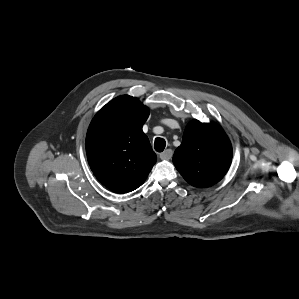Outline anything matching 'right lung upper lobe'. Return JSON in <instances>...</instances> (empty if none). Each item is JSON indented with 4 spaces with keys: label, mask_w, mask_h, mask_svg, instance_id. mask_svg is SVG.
Returning <instances> with one entry per match:
<instances>
[{
    "label": "right lung upper lobe",
    "mask_w": 299,
    "mask_h": 299,
    "mask_svg": "<svg viewBox=\"0 0 299 299\" xmlns=\"http://www.w3.org/2000/svg\"><path fill=\"white\" fill-rule=\"evenodd\" d=\"M149 109L137 98L122 95L92 119L86 135L88 163L96 178L119 193L137 189L156 162L142 126Z\"/></svg>",
    "instance_id": "right-lung-upper-lobe-1"
}]
</instances>
